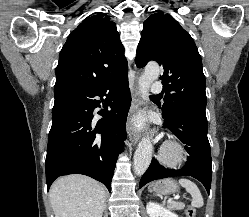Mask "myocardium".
<instances>
[{
  "mask_svg": "<svg viewBox=\"0 0 249 217\" xmlns=\"http://www.w3.org/2000/svg\"><path fill=\"white\" fill-rule=\"evenodd\" d=\"M186 154V149L180 141L167 140L159 151V159L168 167H176L185 160Z\"/></svg>",
  "mask_w": 249,
  "mask_h": 217,
  "instance_id": "obj_1",
  "label": "myocardium"
}]
</instances>
